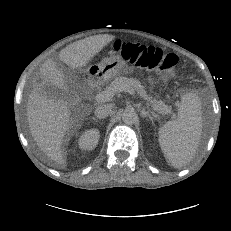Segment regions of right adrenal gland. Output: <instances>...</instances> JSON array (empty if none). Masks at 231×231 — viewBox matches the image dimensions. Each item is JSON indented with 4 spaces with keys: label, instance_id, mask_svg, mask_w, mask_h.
<instances>
[{
    "label": "right adrenal gland",
    "instance_id": "2a0ac1e0",
    "mask_svg": "<svg viewBox=\"0 0 231 231\" xmlns=\"http://www.w3.org/2000/svg\"><path fill=\"white\" fill-rule=\"evenodd\" d=\"M92 120H94L95 122H98V119L96 117H92Z\"/></svg>",
    "mask_w": 231,
    "mask_h": 231
}]
</instances>
